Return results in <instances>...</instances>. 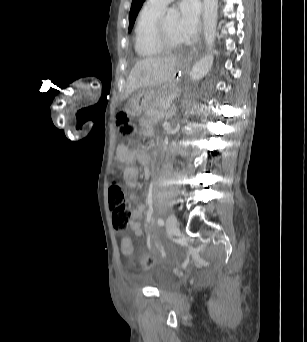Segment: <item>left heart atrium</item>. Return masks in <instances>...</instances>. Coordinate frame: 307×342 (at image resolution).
I'll return each instance as SVG.
<instances>
[{
	"instance_id": "39dd6f15",
	"label": "left heart atrium",
	"mask_w": 307,
	"mask_h": 342,
	"mask_svg": "<svg viewBox=\"0 0 307 342\" xmlns=\"http://www.w3.org/2000/svg\"><path fill=\"white\" fill-rule=\"evenodd\" d=\"M200 30V10L197 4L187 3L181 7L179 20L176 22L175 34L183 44L195 39Z\"/></svg>"
}]
</instances>
